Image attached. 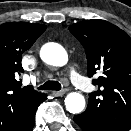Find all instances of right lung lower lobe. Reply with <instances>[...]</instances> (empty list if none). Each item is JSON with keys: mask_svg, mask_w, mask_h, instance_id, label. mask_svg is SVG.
I'll return each instance as SVG.
<instances>
[{"mask_svg": "<svg viewBox=\"0 0 131 131\" xmlns=\"http://www.w3.org/2000/svg\"><path fill=\"white\" fill-rule=\"evenodd\" d=\"M45 99L19 106L12 111L0 110V131H32L36 110Z\"/></svg>", "mask_w": 131, "mask_h": 131, "instance_id": "1", "label": "right lung lower lobe"}]
</instances>
